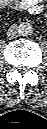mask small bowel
Returning a JSON list of instances; mask_svg holds the SVG:
<instances>
[{
    "mask_svg": "<svg viewBox=\"0 0 47 129\" xmlns=\"http://www.w3.org/2000/svg\"><path fill=\"white\" fill-rule=\"evenodd\" d=\"M4 7L14 6L31 14H39L44 10L42 0H1Z\"/></svg>",
    "mask_w": 47,
    "mask_h": 129,
    "instance_id": "small-bowel-1",
    "label": "small bowel"
}]
</instances>
